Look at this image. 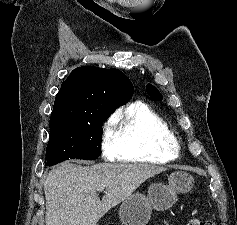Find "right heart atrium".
<instances>
[{
	"instance_id": "obj_1",
	"label": "right heart atrium",
	"mask_w": 237,
	"mask_h": 225,
	"mask_svg": "<svg viewBox=\"0 0 237 225\" xmlns=\"http://www.w3.org/2000/svg\"><path fill=\"white\" fill-rule=\"evenodd\" d=\"M116 117L105 121L101 132V150L104 158L113 160L117 151Z\"/></svg>"
}]
</instances>
